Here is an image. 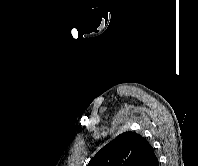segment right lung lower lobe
Returning a JSON list of instances; mask_svg holds the SVG:
<instances>
[{"instance_id":"right-lung-lower-lobe-1","label":"right lung lower lobe","mask_w":198,"mask_h":166,"mask_svg":"<svg viewBox=\"0 0 198 166\" xmlns=\"http://www.w3.org/2000/svg\"><path fill=\"white\" fill-rule=\"evenodd\" d=\"M150 166H159V161L158 159H155L151 164Z\"/></svg>"}]
</instances>
